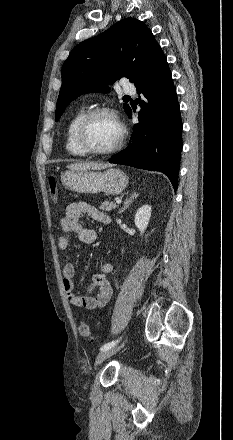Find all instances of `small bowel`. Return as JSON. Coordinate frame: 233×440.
Here are the masks:
<instances>
[{"label":"small bowel","mask_w":233,"mask_h":440,"mask_svg":"<svg viewBox=\"0 0 233 440\" xmlns=\"http://www.w3.org/2000/svg\"><path fill=\"white\" fill-rule=\"evenodd\" d=\"M83 215H87L90 219L105 223L108 216L84 201L70 203L65 211V215L60 220L62 234L58 239V247L66 250L70 242V233L74 232L78 235L79 240L84 244H93L97 240V233L85 228L81 223ZM113 265L110 262L102 263L98 271L92 277V283L88 286V293L85 295H77L74 293L73 277L75 275V265L72 262L65 264L62 270L63 288L69 303L76 308L94 310L104 307L110 300L112 288L107 280V275L112 273Z\"/></svg>","instance_id":"obj_1"}]
</instances>
